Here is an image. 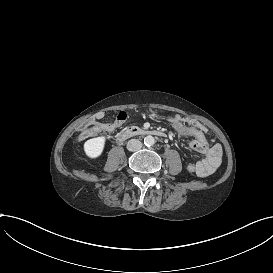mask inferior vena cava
Listing matches in <instances>:
<instances>
[{
  "instance_id": "obj_1",
  "label": "inferior vena cava",
  "mask_w": 273,
  "mask_h": 273,
  "mask_svg": "<svg viewBox=\"0 0 273 273\" xmlns=\"http://www.w3.org/2000/svg\"><path fill=\"white\" fill-rule=\"evenodd\" d=\"M142 148V143L138 139H131L127 143V149L129 151H138Z\"/></svg>"
}]
</instances>
